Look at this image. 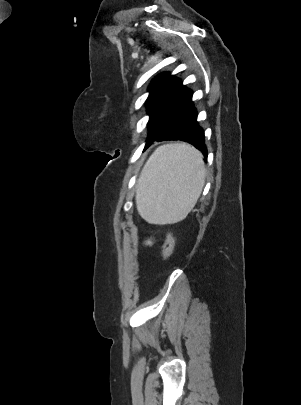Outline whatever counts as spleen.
Wrapping results in <instances>:
<instances>
[{
  "label": "spleen",
  "instance_id": "1",
  "mask_svg": "<svg viewBox=\"0 0 301 405\" xmlns=\"http://www.w3.org/2000/svg\"><path fill=\"white\" fill-rule=\"evenodd\" d=\"M205 183L201 153L186 143L158 147L137 184L140 216L151 224H173L192 210Z\"/></svg>",
  "mask_w": 301,
  "mask_h": 405
}]
</instances>
